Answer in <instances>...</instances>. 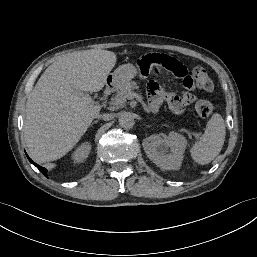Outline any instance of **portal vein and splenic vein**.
Masks as SVG:
<instances>
[{"instance_id":"portal-vein-and-splenic-vein-1","label":"portal vein and splenic vein","mask_w":257,"mask_h":257,"mask_svg":"<svg viewBox=\"0 0 257 257\" xmlns=\"http://www.w3.org/2000/svg\"><path fill=\"white\" fill-rule=\"evenodd\" d=\"M134 97H135V94H134V93H131L129 98H130V99H133Z\"/></svg>"}]
</instances>
